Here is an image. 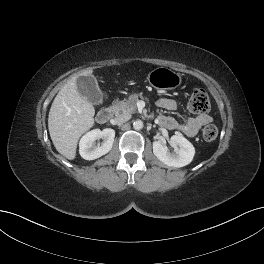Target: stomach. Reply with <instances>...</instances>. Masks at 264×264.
<instances>
[{
    "label": "stomach",
    "instance_id": "1",
    "mask_svg": "<svg viewBox=\"0 0 264 264\" xmlns=\"http://www.w3.org/2000/svg\"><path fill=\"white\" fill-rule=\"evenodd\" d=\"M149 84L158 90L175 89L182 83L179 73L167 68L158 67L152 70L147 77Z\"/></svg>",
    "mask_w": 264,
    "mask_h": 264
}]
</instances>
